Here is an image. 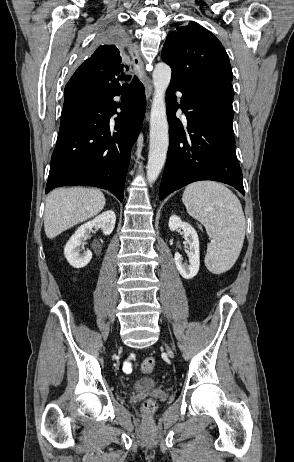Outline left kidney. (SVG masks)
<instances>
[{
	"mask_svg": "<svg viewBox=\"0 0 294 462\" xmlns=\"http://www.w3.org/2000/svg\"><path fill=\"white\" fill-rule=\"evenodd\" d=\"M168 225L171 231H175L180 228L184 232V237L190 247L189 262L183 263L182 256L178 252L175 253L174 260L181 276L185 279H192L197 275L200 267L198 234L189 223L183 222L176 215H172L170 217Z\"/></svg>",
	"mask_w": 294,
	"mask_h": 462,
	"instance_id": "obj_1",
	"label": "left kidney"
}]
</instances>
